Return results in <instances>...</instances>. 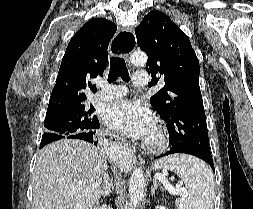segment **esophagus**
I'll list each match as a JSON object with an SVG mask.
<instances>
[{
    "label": "esophagus",
    "instance_id": "1",
    "mask_svg": "<svg viewBox=\"0 0 253 209\" xmlns=\"http://www.w3.org/2000/svg\"><path fill=\"white\" fill-rule=\"evenodd\" d=\"M112 46H113V48H116V49H117L116 46H120L125 59L128 61L130 54L134 51V49L136 47V37H135L134 31L131 29H123L121 32H119L115 36ZM116 141L120 145H123L128 150L132 151L129 144L126 143V141L123 140L122 138L116 137ZM131 157H132L133 161L136 160V157L133 154V152L131 154Z\"/></svg>",
    "mask_w": 253,
    "mask_h": 209
}]
</instances>
